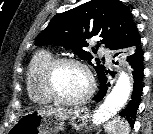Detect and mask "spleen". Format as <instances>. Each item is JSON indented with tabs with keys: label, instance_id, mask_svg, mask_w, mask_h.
Instances as JSON below:
<instances>
[{
	"label": "spleen",
	"instance_id": "spleen-1",
	"mask_svg": "<svg viewBox=\"0 0 153 134\" xmlns=\"http://www.w3.org/2000/svg\"><path fill=\"white\" fill-rule=\"evenodd\" d=\"M105 130L108 134H129L130 128L124 119L116 118L105 127Z\"/></svg>",
	"mask_w": 153,
	"mask_h": 134
}]
</instances>
